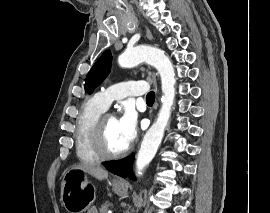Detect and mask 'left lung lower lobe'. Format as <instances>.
Masks as SVG:
<instances>
[{
  "instance_id": "obj_1",
  "label": "left lung lower lobe",
  "mask_w": 270,
  "mask_h": 213,
  "mask_svg": "<svg viewBox=\"0 0 270 213\" xmlns=\"http://www.w3.org/2000/svg\"><path fill=\"white\" fill-rule=\"evenodd\" d=\"M133 160L134 155L132 154L127 158L112 162L110 165L106 166V168L116 175L128 177L132 170ZM131 178L134 179V176Z\"/></svg>"
}]
</instances>
